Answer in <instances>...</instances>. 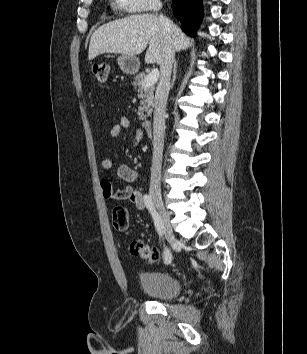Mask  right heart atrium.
<instances>
[{
	"instance_id": "obj_1",
	"label": "right heart atrium",
	"mask_w": 307,
	"mask_h": 354,
	"mask_svg": "<svg viewBox=\"0 0 307 354\" xmlns=\"http://www.w3.org/2000/svg\"><path fill=\"white\" fill-rule=\"evenodd\" d=\"M116 3L119 8L131 13L152 11L160 7V0H116Z\"/></svg>"
}]
</instances>
